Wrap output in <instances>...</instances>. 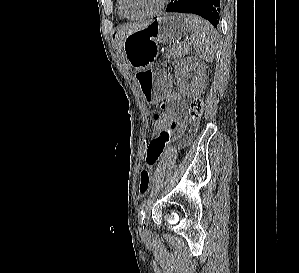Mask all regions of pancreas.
<instances>
[{
	"mask_svg": "<svg viewBox=\"0 0 299 273\" xmlns=\"http://www.w3.org/2000/svg\"><path fill=\"white\" fill-rule=\"evenodd\" d=\"M190 51V46L185 45V44H173L169 45L167 47L166 52H165V57L166 58H171V57H182L183 55L187 54Z\"/></svg>",
	"mask_w": 299,
	"mask_h": 273,
	"instance_id": "pancreas-1",
	"label": "pancreas"
}]
</instances>
